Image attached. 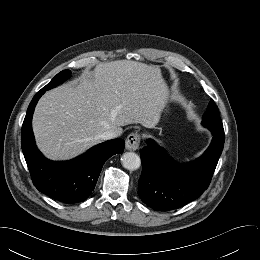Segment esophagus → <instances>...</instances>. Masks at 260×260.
<instances>
[{"label": "esophagus", "instance_id": "34e87169", "mask_svg": "<svg viewBox=\"0 0 260 260\" xmlns=\"http://www.w3.org/2000/svg\"><path fill=\"white\" fill-rule=\"evenodd\" d=\"M140 145V135L138 133H131L126 138L125 146L127 150L135 151Z\"/></svg>", "mask_w": 260, "mask_h": 260}]
</instances>
